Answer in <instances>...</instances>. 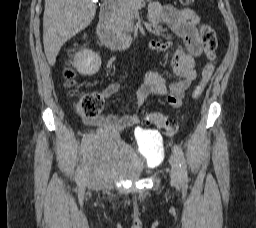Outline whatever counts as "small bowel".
<instances>
[{"mask_svg":"<svg viewBox=\"0 0 256 228\" xmlns=\"http://www.w3.org/2000/svg\"><path fill=\"white\" fill-rule=\"evenodd\" d=\"M149 20L155 24H166L184 42L187 51L177 49L171 58V67L180 80L166 85L163 76L148 69L144 76V82L134 86L135 96L139 106H142L149 95L166 97L168 103L179 108L182 105L185 92L197 77L195 70V59L203 52V44L200 39V18L189 8H176L172 5H161L154 2L150 5ZM169 42L153 40L149 43V49L154 52H164L169 49ZM120 90L117 83H112L105 88L102 95L111 97ZM86 122L100 130L117 133L140 122L138 115L126 114L105 115Z\"/></svg>","mask_w":256,"mask_h":228,"instance_id":"obj_1","label":"small bowel"}]
</instances>
